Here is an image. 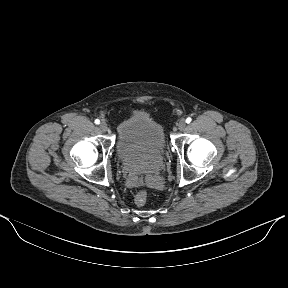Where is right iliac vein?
Segmentation results:
<instances>
[{
    "label": "right iliac vein",
    "instance_id": "1",
    "mask_svg": "<svg viewBox=\"0 0 288 288\" xmlns=\"http://www.w3.org/2000/svg\"><path fill=\"white\" fill-rule=\"evenodd\" d=\"M99 128L102 132H106L108 129V126L105 122L100 123Z\"/></svg>",
    "mask_w": 288,
    "mask_h": 288
}]
</instances>
